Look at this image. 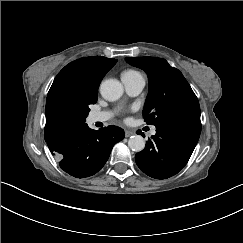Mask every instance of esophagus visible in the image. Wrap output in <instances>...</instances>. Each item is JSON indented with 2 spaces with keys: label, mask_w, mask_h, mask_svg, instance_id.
<instances>
[{
  "label": "esophagus",
  "mask_w": 243,
  "mask_h": 243,
  "mask_svg": "<svg viewBox=\"0 0 243 243\" xmlns=\"http://www.w3.org/2000/svg\"><path fill=\"white\" fill-rule=\"evenodd\" d=\"M135 133L133 132V131H130V130H126L125 131V137L126 138H129V137H131V136H133Z\"/></svg>",
  "instance_id": "1"
}]
</instances>
